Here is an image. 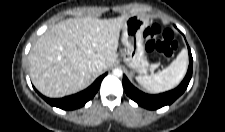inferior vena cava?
<instances>
[{"label":"inferior vena cava","instance_id":"inferior-vena-cava-1","mask_svg":"<svg viewBox=\"0 0 225 132\" xmlns=\"http://www.w3.org/2000/svg\"><path fill=\"white\" fill-rule=\"evenodd\" d=\"M90 70L95 74H100L105 68V64L100 60H93L89 65Z\"/></svg>","mask_w":225,"mask_h":132}]
</instances>
